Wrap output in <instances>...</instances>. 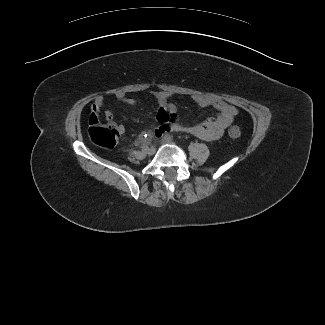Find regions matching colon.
Segmentation results:
<instances>
[{"instance_id": "obj_1", "label": "colon", "mask_w": 325, "mask_h": 325, "mask_svg": "<svg viewBox=\"0 0 325 325\" xmlns=\"http://www.w3.org/2000/svg\"><path fill=\"white\" fill-rule=\"evenodd\" d=\"M88 134L92 142L103 148H113L118 141V131L111 123H102L97 113H92L89 118ZM231 138H239L241 131L238 127H231L228 131Z\"/></svg>"}]
</instances>
